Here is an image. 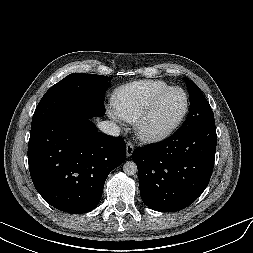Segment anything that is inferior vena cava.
Masks as SVG:
<instances>
[{
	"mask_svg": "<svg viewBox=\"0 0 253 253\" xmlns=\"http://www.w3.org/2000/svg\"><path fill=\"white\" fill-rule=\"evenodd\" d=\"M98 128L107 135L111 136H119L120 135V127L111 121H102L98 123Z\"/></svg>",
	"mask_w": 253,
	"mask_h": 253,
	"instance_id": "obj_1",
	"label": "inferior vena cava"
}]
</instances>
